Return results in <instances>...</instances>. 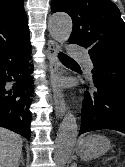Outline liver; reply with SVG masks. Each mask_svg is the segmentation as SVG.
I'll return each mask as SVG.
<instances>
[{
  "mask_svg": "<svg viewBox=\"0 0 125 167\" xmlns=\"http://www.w3.org/2000/svg\"><path fill=\"white\" fill-rule=\"evenodd\" d=\"M22 154V137L0 127V167H16Z\"/></svg>",
  "mask_w": 125,
  "mask_h": 167,
  "instance_id": "obj_1",
  "label": "liver"
}]
</instances>
